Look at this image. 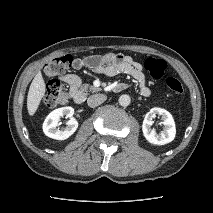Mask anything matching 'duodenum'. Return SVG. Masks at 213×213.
<instances>
[{"instance_id":"obj_1","label":"duodenum","mask_w":213,"mask_h":213,"mask_svg":"<svg viewBox=\"0 0 213 213\" xmlns=\"http://www.w3.org/2000/svg\"><path fill=\"white\" fill-rule=\"evenodd\" d=\"M128 88V85L125 83H118L112 87L113 92H122ZM87 97V92L83 90H78L74 95L73 99L77 104H82Z\"/></svg>"}]
</instances>
